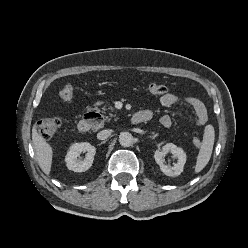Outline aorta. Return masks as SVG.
Segmentation results:
<instances>
[{
    "label": "aorta",
    "mask_w": 248,
    "mask_h": 248,
    "mask_svg": "<svg viewBox=\"0 0 248 248\" xmlns=\"http://www.w3.org/2000/svg\"><path fill=\"white\" fill-rule=\"evenodd\" d=\"M134 142V138L129 132H121L119 135V143L123 147H130Z\"/></svg>",
    "instance_id": "aorta-1"
}]
</instances>
